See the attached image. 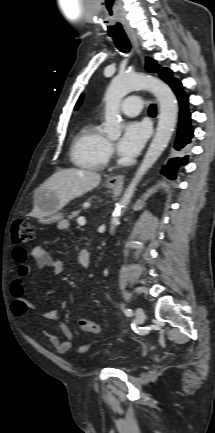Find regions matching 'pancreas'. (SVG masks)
I'll return each mask as SVG.
<instances>
[{"label":"pancreas","instance_id":"1","mask_svg":"<svg viewBox=\"0 0 215 433\" xmlns=\"http://www.w3.org/2000/svg\"><path fill=\"white\" fill-rule=\"evenodd\" d=\"M79 212L80 211H78V210L72 212L70 215H68V219H70V220L74 219L75 217H77L79 215Z\"/></svg>","mask_w":215,"mask_h":433}]
</instances>
